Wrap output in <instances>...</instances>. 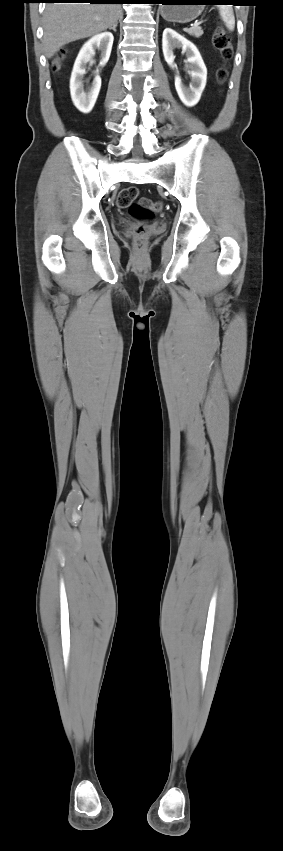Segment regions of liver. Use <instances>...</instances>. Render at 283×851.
Instances as JSON below:
<instances>
[{
	"mask_svg": "<svg viewBox=\"0 0 283 851\" xmlns=\"http://www.w3.org/2000/svg\"><path fill=\"white\" fill-rule=\"evenodd\" d=\"M122 13L119 4L49 3L43 15V46L47 58L73 41L113 27Z\"/></svg>",
	"mask_w": 283,
	"mask_h": 851,
	"instance_id": "obj_1",
	"label": "liver"
}]
</instances>
